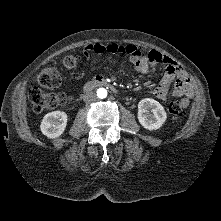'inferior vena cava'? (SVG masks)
Instances as JSON below:
<instances>
[{
    "mask_svg": "<svg viewBox=\"0 0 221 221\" xmlns=\"http://www.w3.org/2000/svg\"><path fill=\"white\" fill-rule=\"evenodd\" d=\"M97 96L94 92H87L83 95V100L85 103H91L96 101Z\"/></svg>",
    "mask_w": 221,
    "mask_h": 221,
    "instance_id": "602c4592",
    "label": "inferior vena cava"
}]
</instances>
